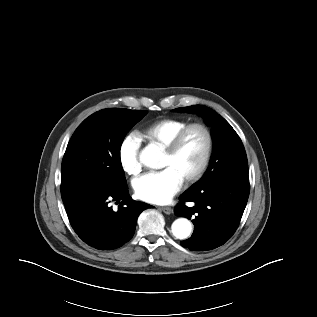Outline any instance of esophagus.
<instances>
[{"label":"esophagus","instance_id":"esophagus-1","mask_svg":"<svg viewBox=\"0 0 317 317\" xmlns=\"http://www.w3.org/2000/svg\"><path fill=\"white\" fill-rule=\"evenodd\" d=\"M160 209L167 215L173 213V209L171 207H161Z\"/></svg>","mask_w":317,"mask_h":317}]
</instances>
